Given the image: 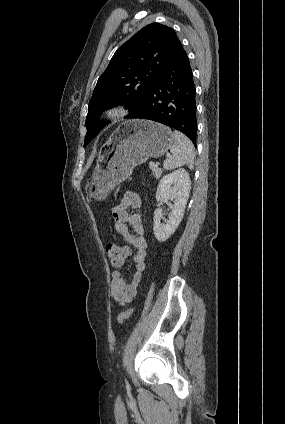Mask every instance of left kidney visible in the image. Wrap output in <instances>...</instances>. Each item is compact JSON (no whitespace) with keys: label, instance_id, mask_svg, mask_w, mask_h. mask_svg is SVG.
Listing matches in <instances>:
<instances>
[{"label":"left kidney","instance_id":"1","mask_svg":"<svg viewBox=\"0 0 285 424\" xmlns=\"http://www.w3.org/2000/svg\"><path fill=\"white\" fill-rule=\"evenodd\" d=\"M190 190L191 180L188 172L183 168L163 176L160 180L156 192V200L160 202L169 196L173 200V204L169 205L171 212L165 224L160 222L162 209L158 208L154 211L153 230L158 241H166L179 226L185 212Z\"/></svg>","mask_w":285,"mask_h":424}]
</instances>
